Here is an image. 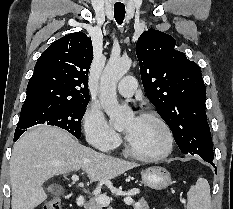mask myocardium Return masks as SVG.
Masks as SVG:
<instances>
[{
    "instance_id": "obj_1",
    "label": "myocardium",
    "mask_w": 233,
    "mask_h": 209,
    "mask_svg": "<svg viewBox=\"0 0 233 209\" xmlns=\"http://www.w3.org/2000/svg\"><path fill=\"white\" fill-rule=\"evenodd\" d=\"M140 117H146V118L153 119L161 126V128L163 129L165 133V137H166L165 147L158 154L145 155V154H141L135 151L129 144L128 140L126 139L125 144H124V149H125L126 154L136 160L143 161V162H157V161H161L167 158L171 154L174 148V136H173V132L170 126L164 120V118H162L157 112H154V111H144L140 114Z\"/></svg>"
}]
</instances>
